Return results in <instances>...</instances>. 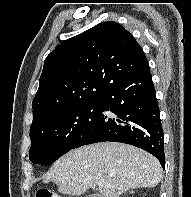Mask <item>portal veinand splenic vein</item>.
I'll return each mask as SVG.
<instances>
[{
  "instance_id": "portal-vein-and-splenic-vein-1",
  "label": "portal vein and splenic vein",
  "mask_w": 191,
  "mask_h": 197,
  "mask_svg": "<svg viewBox=\"0 0 191 197\" xmlns=\"http://www.w3.org/2000/svg\"><path fill=\"white\" fill-rule=\"evenodd\" d=\"M98 186H99V187H108V186L104 185L103 182H99V183H98Z\"/></svg>"
}]
</instances>
